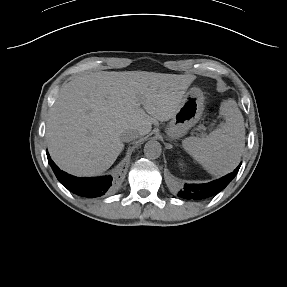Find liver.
Listing matches in <instances>:
<instances>
[{"label":"liver","mask_w":287,"mask_h":287,"mask_svg":"<svg viewBox=\"0 0 287 287\" xmlns=\"http://www.w3.org/2000/svg\"><path fill=\"white\" fill-rule=\"evenodd\" d=\"M194 79L115 71L74 77L61 88L47 120L52 159L79 176L105 172L124 149L122 133L133 129L144 136L152 129V117L173 118Z\"/></svg>","instance_id":"6515ba94"}]
</instances>
